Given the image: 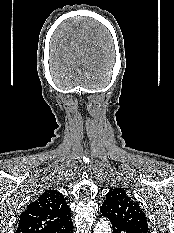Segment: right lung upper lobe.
Segmentation results:
<instances>
[{"label": "right lung upper lobe", "instance_id": "cb5924a9", "mask_svg": "<svg viewBox=\"0 0 174 233\" xmlns=\"http://www.w3.org/2000/svg\"><path fill=\"white\" fill-rule=\"evenodd\" d=\"M71 209L57 190H46L21 214L16 233H59L72 226Z\"/></svg>", "mask_w": 174, "mask_h": 233}]
</instances>
